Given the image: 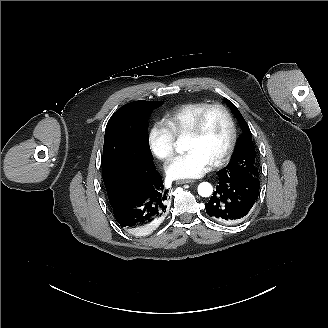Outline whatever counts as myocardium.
Listing matches in <instances>:
<instances>
[{
  "label": "myocardium",
  "instance_id": "obj_1",
  "mask_svg": "<svg viewBox=\"0 0 328 328\" xmlns=\"http://www.w3.org/2000/svg\"><path fill=\"white\" fill-rule=\"evenodd\" d=\"M212 111H221L222 113H224L231 127V138L225 152L218 160L212 163L213 167H220L231 159L238 141L237 124L233 116V113L226 105L220 103L209 104L205 109H203L198 114L193 125L186 132V136L196 137L197 135H199L203 129L206 118Z\"/></svg>",
  "mask_w": 328,
  "mask_h": 328
}]
</instances>
